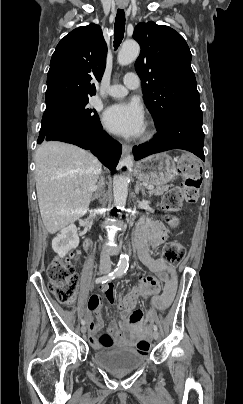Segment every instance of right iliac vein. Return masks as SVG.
Masks as SVG:
<instances>
[{
  "label": "right iliac vein",
  "mask_w": 243,
  "mask_h": 404,
  "mask_svg": "<svg viewBox=\"0 0 243 404\" xmlns=\"http://www.w3.org/2000/svg\"><path fill=\"white\" fill-rule=\"evenodd\" d=\"M86 330H87L86 326H85V325H82V326H81V332H82V333H86Z\"/></svg>",
  "instance_id": "1"
}]
</instances>
